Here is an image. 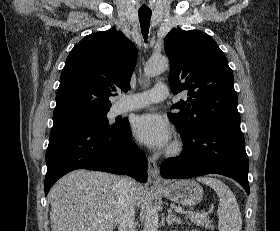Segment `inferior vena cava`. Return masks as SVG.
I'll use <instances>...</instances> for the list:
<instances>
[{
    "instance_id": "602c4592",
    "label": "inferior vena cava",
    "mask_w": 280,
    "mask_h": 231,
    "mask_svg": "<svg viewBox=\"0 0 280 231\" xmlns=\"http://www.w3.org/2000/svg\"><path fill=\"white\" fill-rule=\"evenodd\" d=\"M135 183L131 177L118 179L119 195L116 207L118 231H135V199L132 191Z\"/></svg>"
}]
</instances>
